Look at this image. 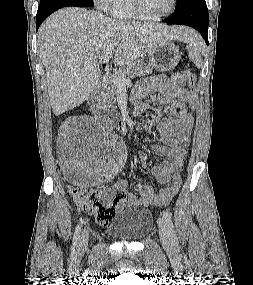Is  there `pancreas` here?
Instances as JSON below:
<instances>
[{
  "mask_svg": "<svg viewBox=\"0 0 253 285\" xmlns=\"http://www.w3.org/2000/svg\"><path fill=\"white\" fill-rule=\"evenodd\" d=\"M150 74H152V68L139 62L128 64L115 73L116 76L124 79L134 78L136 76H146ZM118 87L119 85L115 84L110 78H106L102 82V103L109 109H114L113 102L116 100L115 96L117 95Z\"/></svg>",
  "mask_w": 253,
  "mask_h": 285,
  "instance_id": "cf45deb5",
  "label": "pancreas"
}]
</instances>
